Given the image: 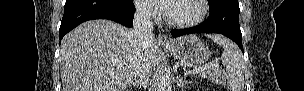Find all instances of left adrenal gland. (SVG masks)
<instances>
[{
  "label": "left adrenal gland",
  "instance_id": "a2214340",
  "mask_svg": "<svg viewBox=\"0 0 304 91\" xmlns=\"http://www.w3.org/2000/svg\"><path fill=\"white\" fill-rule=\"evenodd\" d=\"M190 82L183 80V77L177 76L176 77V84L178 87L183 88L185 85L189 84Z\"/></svg>",
  "mask_w": 304,
  "mask_h": 91
}]
</instances>
